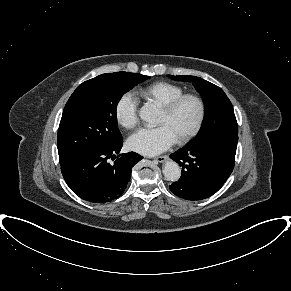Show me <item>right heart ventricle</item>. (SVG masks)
Instances as JSON below:
<instances>
[{"instance_id":"obj_1","label":"right heart ventricle","mask_w":291,"mask_h":291,"mask_svg":"<svg viewBox=\"0 0 291 291\" xmlns=\"http://www.w3.org/2000/svg\"><path fill=\"white\" fill-rule=\"evenodd\" d=\"M183 93L184 90L181 86L165 81L153 83L138 91L141 97L156 103L160 107L168 104Z\"/></svg>"}]
</instances>
